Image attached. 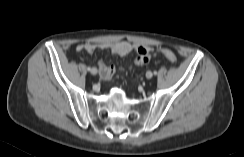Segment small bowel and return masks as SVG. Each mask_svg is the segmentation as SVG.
I'll return each mask as SVG.
<instances>
[{"mask_svg":"<svg viewBox=\"0 0 244 157\" xmlns=\"http://www.w3.org/2000/svg\"><path fill=\"white\" fill-rule=\"evenodd\" d=\"M96 49L100 50H108L113 54H117L119 56H126L130 54L131 52H139V51H145L148 56L149 54H154L153 49L138 45V44H132L127 41H117V42H102V43H84L77 46L76 50L79 53H92ZM144 63H139L135 60L134 65H142ZM97 68L100 77L103 80L110 79L118 70L123 71V68L117 69L115 66H107L102 61H98Z\"/></svg>","mask_w":244,"mask_h":157,"instance_id":"1","label":"small bowel"}]
</instances>
